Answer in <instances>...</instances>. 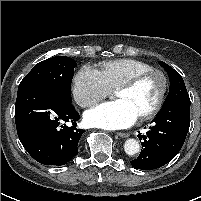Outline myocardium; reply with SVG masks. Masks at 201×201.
<instances>
[{
	"label": "myocardium",
	"instance_id": "1",
	"mask_svg": "<svg viewBox=\"0 0 201 201\" xmlns=\"http://www.w3.org/2000/svg\"><path fill=\"white\" fill-rule=\"evenodd\" d=\"M151 75H157L160 78V81H161L160 91H159L158 98L155 104L153 105V107L147 112H145L144 114H142L141 116H139V119L141 121H145V120L153 118L161 110L165 101L167 90H168V78L166 74L160 69L151 68V69L144 70L130 76L129 78L121 82L116 87V91L122 90V89H130L134 87L135 85H137L139 82H141L143 79Z\"/></svg>",
	"mask_w": 201,
	"mask_h": 201
}]
</instances>
